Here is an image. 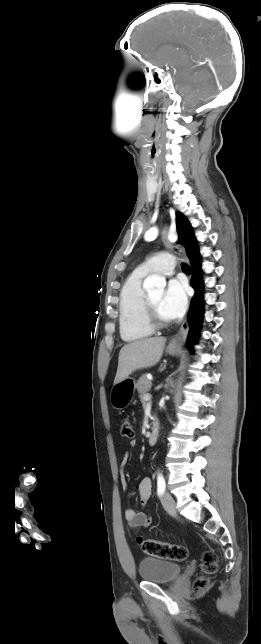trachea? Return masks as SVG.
<instances>
[{
  "label": "trachea",
  "mask_w": 261,
  "mask_h": 644,
  "mask_svg": "<svg viewBox=\"0 0 261 644\" xmlns=\"http://www.w3.org/2000/svg\"><path fill=\"white\" fill-rule=\"evenodd\" d=\"M182 269H183L184 271H187V272H190V271H191L190 266H189V265H187V264H182Z\"/></svg>",
  "instance_id": "3493384b"
}]
</instances>
